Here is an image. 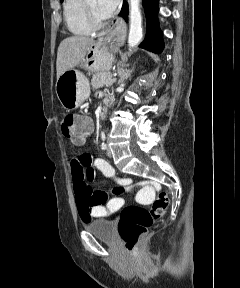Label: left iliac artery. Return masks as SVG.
<instances>
[{
	"mask_svg": "<svg viewBox=\"0 0 240 288\" xmlns=\"http://www.w3.org/2000/svg\"><path fill=\"white\" fill-rule=\"evenodd\" d=\"M101 148H102V150H106L107 149V144L105 142H103L101 144Z\"/></svg>",
	"mask_w": 240,
	"mask_h": 288,
	"instance_id": "1",
	"label": "left iliac artery"
}]
</instances>
